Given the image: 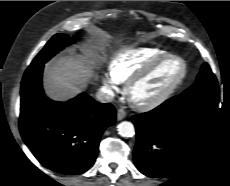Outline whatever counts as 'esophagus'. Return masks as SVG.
Returning <instances> with one entry per match:
<instances>
[{"instance_id":"esophagus-1","label":"esophagus","mask_w":230,"mask_h":186,"mask_svg":"<svg viewBox=\"0 0 230 186\" xmlns=\"http://www.w3.org/2000/svg\"><path fill=\"white\" fill-rule=\"evenodd\" d=\"M126 117V112L123 109H118L117 111V120H122Z\"/></svg>"}]
</instances>
